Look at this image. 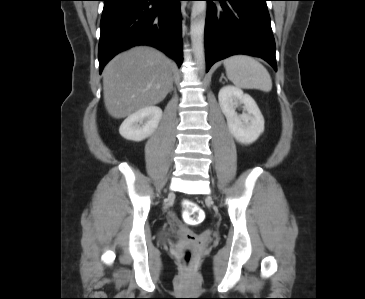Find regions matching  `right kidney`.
<instances>
[{
	"label": "right kidney",
	"mask_w": 365,
	"mask_h": 299,
	"mask_svg": "<svg viewBox=\"0 0 365 299\" xmlns=\"http://www.w3.org/2000/svg\"><path fill=\"white\" fill-rule=\"evenodd\" d=\"M161 118L162 110L159 107L142 108L124 120L119 133L127 140L142 141L154 133Z\"/></svg>",
	"instance_id": "1"
}]
</instances>
